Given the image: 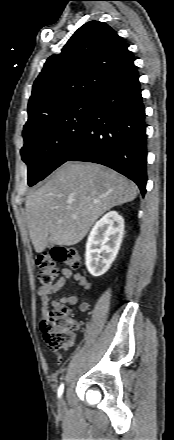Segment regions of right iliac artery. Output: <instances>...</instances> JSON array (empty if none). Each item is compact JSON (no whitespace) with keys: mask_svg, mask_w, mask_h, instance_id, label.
<instances>
[{"mask_svg":"<svg viewBox=\"0 0 174 440\" xmlns=\"http://www.w3.org/2000/svg\"><path fill=\"white\" fill-rule=\"evenodd\" d=\"M64 391V384L62 383L58 389V397L60 398Z\"/></svg>","mask_w":174,"mask_h":440,"instance_id":"82829eb1","label":"right iliac artery"}]
</instances>
